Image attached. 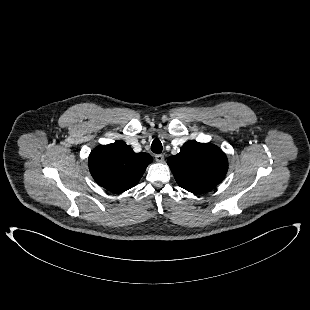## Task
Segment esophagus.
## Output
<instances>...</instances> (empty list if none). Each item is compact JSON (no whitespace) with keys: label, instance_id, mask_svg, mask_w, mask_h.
I'll use <instances>...</instances> for the list:
<instances>
[{"label":"esophagus","instance_id":"1","mask_svg":"<svg viewBox=\"0 0 310 310\" xmlns=\"http://www.w3.org/2000/svg\"><path fill=\"white\" fill-rule=\"evenodd\" d=\"M155 160L159 163L164 161V156L162 154H156L155 155Z\"/></svg>","mask_w":310,"mask_h":310}]
</instances>
